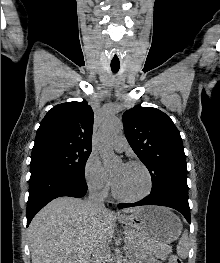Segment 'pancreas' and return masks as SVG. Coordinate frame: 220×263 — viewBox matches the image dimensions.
Segmentation results:
<instances>
[{
  "instance_id": "1",
  "label": "pancreas",
  "mask_w": 220,
  "mask_h": 263,
  "mask_svg": "<svg viewBox=\"0 0 220 263\" xmlns=\"http://www.w3.org/2000/svg\"><path fill=\"white\" fill-rule=\"evenodd\" d=\"M124 233H125V243L127 247L130 249L138 248L139 247L138 233L134 230H126ZM149 249L153 251L157 257L162 259L167 258L168 254L172 252L171 248L158 244L151 245ZM101 260L103 261V258Z\"/></svg>"
}]
</instances>
